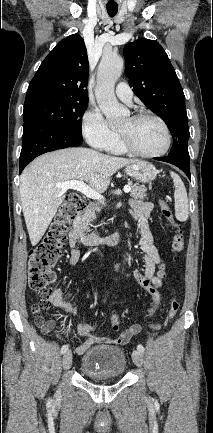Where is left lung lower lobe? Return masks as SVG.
<instances>
[{
	"label": "left lung lower lobe",
	"instance_id": "0a47b994",
	"mask_svg": "<svg viewBox=\"0 0 213 433\" xmlns=\"http://www.w3.org/2000/svg\"><path fill=\"white\" fill-rule=\"evenodd\" d=\"M155 159L159 160V161L168 162V163H171V164L177 166L182 171H184L185 174L187 175V177L191 180V175H190V170H189V160H185V159H182L179 157H174V156L156 157Z\"/></svg>",
	"mask_w": 213,
	"mask_h": 433
}]
</instances>
